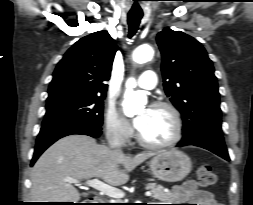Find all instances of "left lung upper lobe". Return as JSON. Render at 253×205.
<instances>
[{
  "label": "left lung upper lobe",
  "instance_id": "5c2ea615",
  "mask_svg": "<svg viewBox=\"0 0 253 205\" xmlns=\"http://www.w3.org/2000/svg\"><path fill=\"white\" fill-rule=\"evenodd\" d=\"M157 43L166 95L184 122L181 141L190 142L206 131L222 133L217 80L204 47L193 37L171 29L158 33Z\"/></svg>",
  "mask_w": 253,
  "mask_h": 205
}]
</instances>
